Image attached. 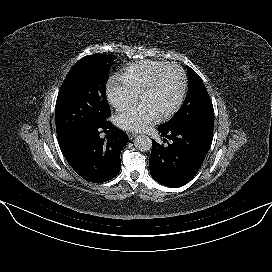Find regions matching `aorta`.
I'll use <instances>...</instances> for the list:
<instances>
[{
  "mask_svg": "<svg viewBox=\"0 0 272 272\" xmlns=\"http://www.w3.org/2000/svg\"><path fill=\"white\" fill-rule=\"evenodd\" d=\"M134 146L140 151H149L152 147V141L147 135H139L134 140Z\"/></svg>",
  "mask_w": 272,
  "mask_h": 272,
  "instance_id": "aorta-1",
  "label": "aorta"
}]
</instances>
